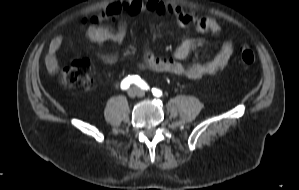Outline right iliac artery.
Returning <instances> with one entry per match:
<instances>
[{
    "mask_svg": "<svg viewBox=\"0 0 299 190\" xmlns=\"http://www.w3.org/2000/svg\"><path fill=\"white\" fill-rule=\"evenodd\" d=\"M136 84L137 86H139L141 89L147 90L149 89L148 85L146 84L145 81H143L139 76L137 75H132V76H128L125 79H123V81L121 82V88L123 90L128 89L130 84Z\"/></svg>",
    "mask_w": 299,
    "mask_h": 190,
    "instance_id": "82829eb1",
    "label": "right iliac artery"
}]
</instances>
